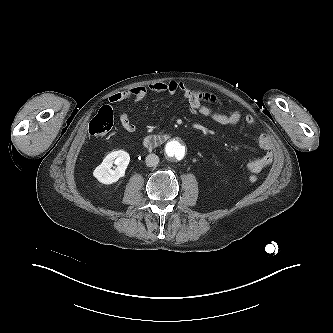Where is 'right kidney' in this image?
Returning a JSON list of instances; mask_svg holds the SVG:
<instances>
[{
    "instance_id": "1",
    "label": "right kidney",
    "mask_w": 333,
    "mask_h": 333,
    "mask_svg": "<svg viewBox=\"0 0 333 333\" xmlns=\"http://www.w3.org/2000/svg\"><path fill=\"white\" fill-rule=\"evenodd\" d=\"M130 162V156L123 150L109 153L103 162L93 172L94 177L103 184H112L125 175V170ZM116 164L115 170L111 167Z\"/></svg>"
}]
</instances>
